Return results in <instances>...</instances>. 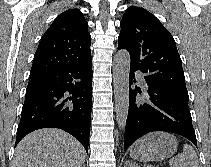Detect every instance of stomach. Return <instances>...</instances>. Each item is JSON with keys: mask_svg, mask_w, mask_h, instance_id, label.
<instances>
[{"mask_svg": "<svg viewBox=\"0 0 211 167\" xmlns=\"http://www.w3.org/2000/svg\"><path fill=\"white\" fill-rule=\"evenodd\" d=\"M177 139L168 133L154 132L138 140L130 149L133 159L150 162L171 157L177 151Z\"/></svg>", "mask_w": 211, "mask_h": 167, "instance_id": "obj_1", "label": "stomach"}]
</instances>
